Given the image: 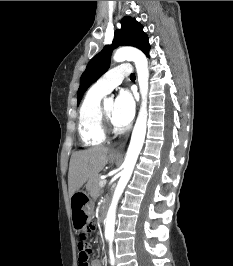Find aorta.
<instances>
[{
    "mask_svg": "<svg viewBox=\"0 0 233 266\" xmlns=\"http://www.w3.org/2000/svg\"><path fill=\"white\" fill-rule=\"evenodd\" d=\"M113 60L115 62H123L128 60V61H133L135 63L142 102L132 132L126 157L123 163V170L121 172V177L117 183L107 213L106 224H105V237L107 239H112L114 236L117 204L132 175L138 155L142 149L145 140L146 124L148 116L147 94H148L149 71H148V60L145 54L136 48L125 47L118 49L114 53Z\"/></svg>",
    "mask_w": 233,
    "mask_h": 266,
    "instance_id": "1",
    "label": "aorta"
}]
</instances>
